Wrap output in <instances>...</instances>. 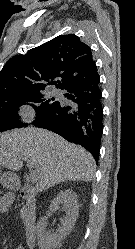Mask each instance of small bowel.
Returning a JSON list of instances; mask_svg holds the SVG:
<instances>
[{"label":"small bowel","mask_w":135,"mask_h":249,"mask_svg":"<svg viewBox=\"0 0 135 249\" xmlns=\"http://www.w3.org/2000/svg\"><path fill=\"white\" fill-rule=\"evenodd\" d=\"M8 206H6L4 203H0V211L4 212V211H8ZM29 246V240L28 238L25 240V242L23 244L20 245V247L18 249H28Z\"/></svg>","instance_id":"obj_1"}]
</instances>
